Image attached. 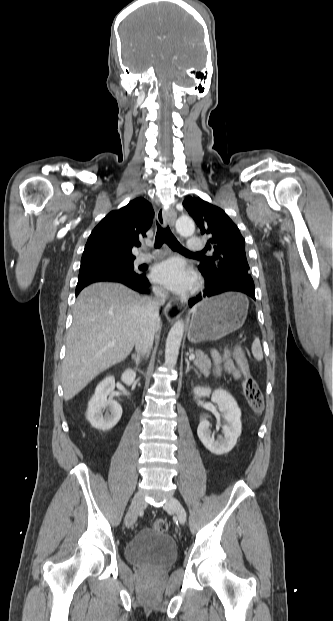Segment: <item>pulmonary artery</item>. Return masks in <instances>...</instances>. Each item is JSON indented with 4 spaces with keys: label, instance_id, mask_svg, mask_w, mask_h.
Wrapping results in <instances>:
<instances>
[{
    "label": "pulmonary artery",
    "instance_id": "obj_1",
    "mask_svg": "<svg viewBox=\"0 0 333 621\" xmlns=\"http://www.w3.org/2000/svg\"><path fill=\"white\" fill-rule=\"evenodd\" d=\"M204 247V242L201 238L199 237H191L188 240V245H187V250L190 252H196V251H200L202 250ZM155 255H150V254H145V253H141L137 259L136 262L137 263H143L145 261H148L152 258H154Z\"/></svg>",
    "mask_w": 333,
    "mask_h": 621
}]
</instances>
